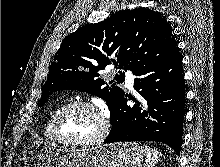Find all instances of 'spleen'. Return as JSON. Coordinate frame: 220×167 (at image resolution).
Masks as SVG:
<instances>
[{"label":"spleen","mask_w":220,"mask_h":167,"mask_svg":"<svg viewBox=\"0 0 220 167\" xmlns=\"http://www.w3.org/2000/svg\"><path fill=\"white\" fill-rule=\"evenodd\" d=\"M140 148L146 156V163L148 167H154V165L158 162L161 153L149 146H141Z\"/></svg>","instance_id":"spleen-1"}]
</instances>
